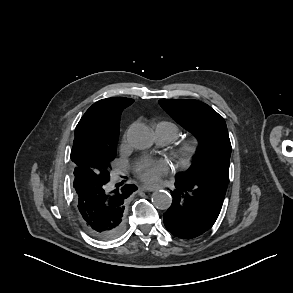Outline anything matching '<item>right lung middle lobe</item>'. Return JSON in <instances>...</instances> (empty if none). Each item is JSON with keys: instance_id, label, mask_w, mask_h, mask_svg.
Masks as SVG:
<instances>
[{"instance_id": "right-lung-middle-lobe-1", "label": "right lung middle lobe", "mask_w": 293, "mask_h": 293, "mask_svg": "<svg viewBox=\"0 0 293 293\" xmlns=\"http://www.w3.org/2000/svg\"><path fill=\"white\" fill-rule=\"evenodd\" d=\"M74 147V145H73ZM115 159V150L102 153L100 156L93 158V163L97 166V170L93 171L100 176H110L111 163Z\"/></svg>"}]
</instances>
